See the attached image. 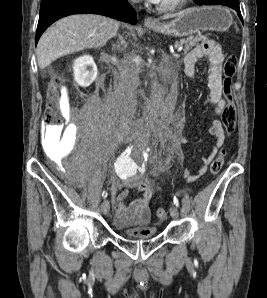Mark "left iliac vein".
<instances>
[{
	"instance_id": "4c4485c4",
	"label": "left iliac vein",
	"mask_w": 267,
	"mask_h": 298,
	"mask_svg": "<svg viewBox=\"0 0 267 298\" xmlns=\"http://www.w3.org/2000/svg\"><path fill=\"white\" fill-rule=\"evenodd\" d=\"M170 215L174 218V219H177L179 217V211L177 209L176 206H171L170 208Z\"/></svg>"
}]
</instances>
